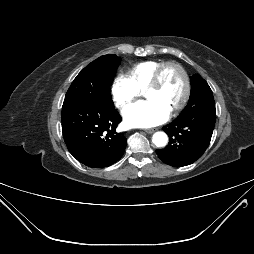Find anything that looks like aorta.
<instances>
[{
  "mask_svg": "<svg viewBox=\"0 0 254 254\" xmlns=\"http://www.w3.org/2000/svg\"><path fill=\"white\" fill-rule=\"evenodd\" d=\"M152 142L157 147H164L168 143V136L164 132H156L153 134Z\"/></svg>",
  "mask_w": 254,
  "mask_h": 254,
  "instance_id": "obj_1",
  "label": "aorta"
}]
</instances>
